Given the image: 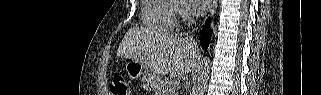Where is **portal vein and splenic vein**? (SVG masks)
<instances>
[{
    "instance_id": "portal-vein-and-splenic-vein-1",
    "label": "portal vein and splenic vein",
    "mask_w": 321,
    "mask_h": 95,
    "mask_svg": "<svg viewBox=\"0 0 321 95\" xmlns=\"http://www.w3.org/2000/svg\"><path fill=\"white\" fill-rule=\"evenodd\" d=\"M174 85L176 86V88H179V82H177V81H174Z\"/></svg>"
}]
</instances>
